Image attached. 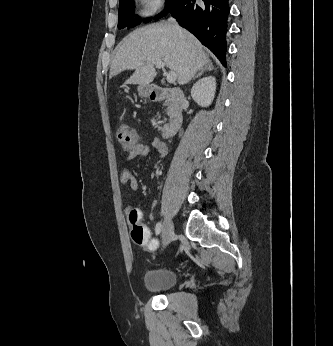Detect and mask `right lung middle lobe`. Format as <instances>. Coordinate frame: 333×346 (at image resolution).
I'll list each match as a JSON object with an SVG mask.
<instances>
[{
    "label": "right lung middle lobe",
    "instance_id": "right-lung-middle-lobe-1",
    "mask_svg": "<svg viewBox=\"0 0 333 346\" xmlns=\"http://www.w3.org/2000/svg\"><path fill=\"white\" fill-rule=\"evenodd\" d=\"M177 0H166L165 10L159 15L155 16L154 19H159L165 16L172 6L175 4ZM119 20H118V28L122 29L126 26L129 28L136 26L141 22L140 19L134 17V1L133 0H119ZM150 19H146L145 22H149Z\"/></svg>",
    "mask_w": 333,
    "mask_h": 346
}]
</instances>
